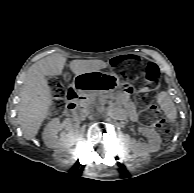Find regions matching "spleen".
I'll return each instance as SVG.
<instances>
[{
    "instance_id": "obj_1",
    "label": "spleen",
    "mask_w": 194,
    "mask_h": 193,
    "mask_svg": "<svg viewBox=\"0 0 194 193\" xmlns=\"http://www.w3.org/2000/svg\"><path fill=\"white\" fill-rule=\"evenodd\" d=\"M158 103L161 109L165 112L168 120L173 123L175 122L177 111L176 107L167 92H160L158 95Z\"/></svg>"
}]
</instances>
